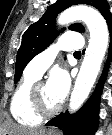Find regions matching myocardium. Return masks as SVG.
<instances>
[{"label": "myocardium", "mask_w": 112, "mask_h": 135, "mask_svg": "<svg viewBox=\"0 0 112 135\" xmlns=\"http://www.w3.org/2000/svg\"><path fill=\"white\" fill-rule=\"evenodd\" d=\"M43 84L44 82L42 81H37L34 83L29 93V102L35 114L42 118H46L57 114L61 109V104L58 103L54 108L50 109L43 105L40 97V87Z\"/></svg>", "instance_id": "1"}]
</instances>
